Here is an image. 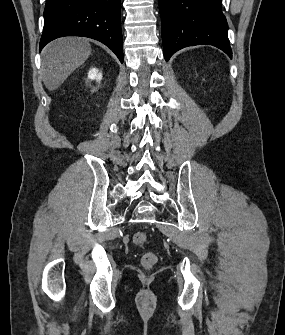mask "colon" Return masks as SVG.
<instances>
[{
	"mask_svg": "<svg viewBox=\"0 0 285 335\" xmlns=\"http://www.w3.org/2000/svg\"><path fill=\"white\" fill-rule=\"evenodd\" d=\"M133 241L137 246H144L147 241V235L144 232H138L134 235ZM158 261V256L157 254L153 252H147L142 256L141 263L142 266L146 269H150L156 265Z\"/></svg>",
	"mask_w": 285,
	"mask_h": 335,
	"instance_id": "colon-1",
	"label": "colon"
}]
</instances>
